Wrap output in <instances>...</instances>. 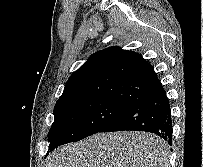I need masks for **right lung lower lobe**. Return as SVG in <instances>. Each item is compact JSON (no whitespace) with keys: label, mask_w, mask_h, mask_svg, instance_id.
Wrapping results in <instances>:
<instances>
[{"label":"right lung lower lobe","mask_w":203,"mask_h":167,"mask_svg":"<svg viewBox=\"0 0 203 167\" xmlns=\"http://www.w3.org/2000/svg\"><path fill=\"white\" fill-rule=\"evenodd\" d=\"M125 130L155 133L172 145V118L163 88L137 99L100 132ZM60 145L58 141L50 142L49 149Z\"/></svg>","instance_id":"1"}]
</instances>
